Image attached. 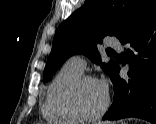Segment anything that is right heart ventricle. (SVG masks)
I'll return each mask as SVG.
<instances>
[{
  "mask_svg": "<svg viewBox=\"0 0 156 124\" xmlns=\"http://www.w3.org/2000/svg\"><path fill=\"white\" fill-rule=\"evenodd\" d=\"M80 75L81 72L65 64L50 81L42 104V115L47 122L51 124H73L76 122L62 108L61 95L65 88Z\"/></svg>",
  "mask_w": 156,
  "mask_h": 124,
  "instance_id": "e07e8e85",
  "label": "right heart ventricle"
}]
</instances>
